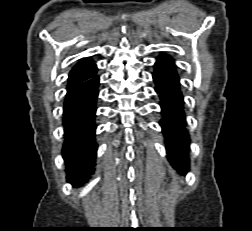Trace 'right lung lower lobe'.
<instances>
[{
	"mask_svg": "<svg viewBox=\"0 0 252 231\" xmlns=\"http://www.w3.org/2000/svg\"><path fill=\"white\" fill-rule=\"evenodd\" d=\"M99 77L93 76L67 88L64 101L63 158L67 181L73 185L87 182L94 172L97 144L95 142L96 99Z\"/></svg>",
	"mask_w": 252,
	"mask_h": 231,
	"instance_id": "right-lung-lower-lobe-1",
	"label": "right lung lower lobe"
}]
</instances>
